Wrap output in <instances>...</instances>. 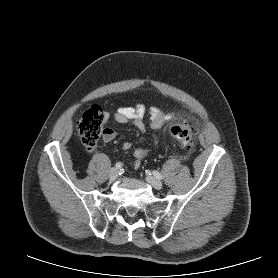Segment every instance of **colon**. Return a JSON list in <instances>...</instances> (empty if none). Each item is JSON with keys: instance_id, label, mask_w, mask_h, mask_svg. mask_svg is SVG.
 Wrapping results in <instances>:
<instances>
[{"instance_id": "1", "label": "colon", "mask_w": 278, "mask_h": 278, "mask_svg": "<svg viewBox=\"0 0 278 278\" xmlns=\"http://www.w3.org/2000/svg\"><path fill=\"white\" fill-rule=\"evenodd\" d=\"M105 115L99 106L87 109L79 121L77 128L83 144L90 150L97 147L100 136L104 132ZM171 135L180 142L184 150L189 153L193 149L194 135L187 123L175 124L170 128Z\"/></svg>"}]
</instances>
